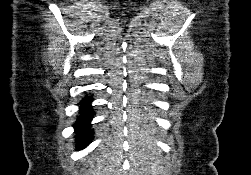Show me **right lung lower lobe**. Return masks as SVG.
Instances as JSON below:
<instances>
[{
    "label": "right lung lower lobe",
    "mask_w": 251,
    "mask_h": 175,
    "mask_svg": "<svg viewBox=\"0 0 251 175\" xmlns=\"http://www.w3.org/2000/svg\"><path fill=\"white\" fill-rule=\"evenodd\" d=\"M92 97L83 99L80 102V116L74 124L76 139H77V149H82L86 147L92 140L93 130L91 129L90 121L93 118V113L91 112V107L89 103L92 102Z\"/></svg>",
    "instance_id": "98d812e1"
}]
</instances>
